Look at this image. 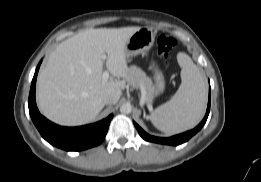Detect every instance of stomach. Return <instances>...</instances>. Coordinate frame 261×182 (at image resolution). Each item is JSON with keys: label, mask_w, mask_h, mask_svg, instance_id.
I'll list each match as a JSON object with an SVG mask.
<instances>
[{"label": "stomach", "mask_w": 261, "mask_h": 182, "mask_svg": "<svg viewBox=\"0 0 261 182\" xmlns=\"http://www.w3.org/2000/svg\"><path fill=\"white\" fill-rule=\"evenodd\" d=\"M154 40L155 33L151 28H140L129 38L125 46L126 58H130L138 54H147L153 46ZM149 68L154 72L155 92L153 97H155L164 90V77L155 62L152 61Z\"/></svg>", "instance_id": "obj_1"}]
</instances>
